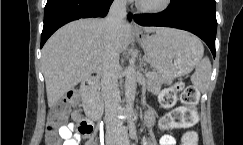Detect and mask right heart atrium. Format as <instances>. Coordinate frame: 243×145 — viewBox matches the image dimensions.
<instances>
[{
	"mask_svg": "<svg viewBox=\"0 0 243 145\" xmlns=\"http://www.w3.org/2000/svg\"><path fill=\"white\" fill-rule=\"evenodd\" d=\"M120 1L125 2V1H127V0H120Z\"/></svg>",
	"mask_w": 243,
	"mask_h": 145,
	"instance_id": "right-heart-atrium-1",
	"label": "right heart atrium"
}]
</instances>
